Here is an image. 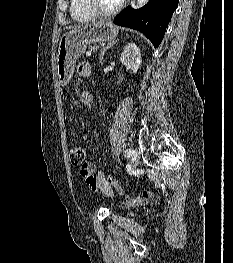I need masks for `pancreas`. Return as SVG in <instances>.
<instances>
[{"instance_id": "cf45deb5", "label": "pancreas", "mask_w": 233, "mask_h": 263, "mask_svg": "<svg viewBox=\"0 0 233 263\" xmlns=\"http://www.w3.org/2000/svg\"><path fill=\"white\" fill-rule=\"evenodd\" d=\"M98 48H99V46H97V45L89 46L90 51H96Z\"/></svg>"}]
</instances>
